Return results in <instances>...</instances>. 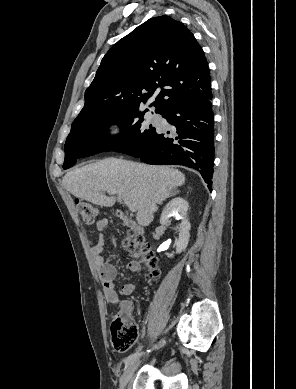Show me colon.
<instances>
[{"mask_svg": "<svg viewBox=\"0 0 296 389\" xmlns=\"http://www.w3.org/2000/svg\"><path fill=\"white\" fill-rule=\"evenodd\" d=\"M76 207L83 221L88 224H93L96 221L98 211L94 205L83 200H78ZM124 246L140 259L141 263L147 269V276L151 280H157L159 278L160 271L157 267V258L143 236L130 235L124 240ZM137 335V327L128 313L118 312L113 316L110 326V336L112 344L117 351H127L136 341Z\"/></svg>", "mask_w": 296, "mask_h": 389, "instance_id": "obj_1", "label": "colon"}]
</instances>
